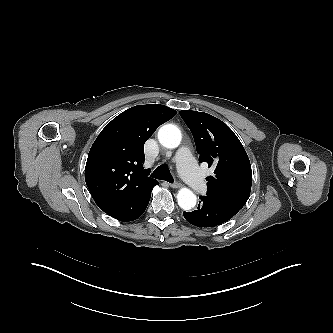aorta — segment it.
Here are the masks:
<instances>
[{
	"mask_svg": "<svg viewBox=\"0 0 333 333\" xmlns=\"http://www.w3.org/2000/svg\"><path fill=\"white\" fill-rule=\"evenodd\" d=\"M158 139L161 145L168 149H174L181 143L180 129L173 124H166L158 131ZM178 205L183 210H190L196 205V196L188 188H181L177 194Z\"/></svg>",
	"mask_w": 333,
	"mask_h": 333,
	"instance_id": "1",
	"label": "aorta"
}]
</instances>
